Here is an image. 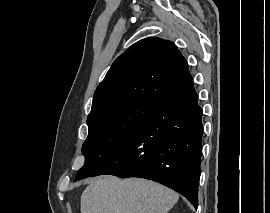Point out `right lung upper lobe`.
<instances>
[{
	"mask_svg": "<svg viewBox=\"0 0 270 213\" xmlns=\"http://www.w3.org/2000/svg\"><path fill=\"white\" fill-rule=\"evenodd\" d=\"M191 80L187 62L174 43L157 37L140 40L112 64L94 93L88 119L131 101L157 104Z\"/></svg>",
	"mask_w": 270,
	"mask_h": 213,
	"instance_id": "cb5924a9",
	"label": "right lung upper lobe"
}]
</instances>
